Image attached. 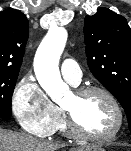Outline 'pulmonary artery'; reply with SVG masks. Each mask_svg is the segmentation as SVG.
<instances>
[{
	"label": "pulmonary artery",
	"instance_id": "e3ab8cb5",
	"mask_svg": "<svg viewBox=\"0 0 131 151\" xmlns=\"http://www.w3.org/2000/svg\"><path fill=\"white\" fill-rule=\"evenodd\" d=\"M61 74L63 78L72 85H78L82 77L79 65L71 58L63 60L61 64Z\"/></svg>",
	"mask_w": 131,
	"mask_h": 151
}]
</instances>
